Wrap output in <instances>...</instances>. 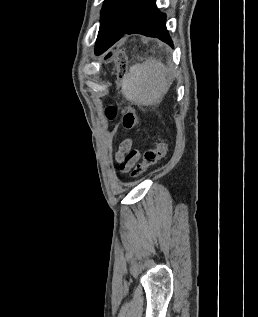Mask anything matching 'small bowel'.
Returning <instances> with one entry per match:
<instances>
[{
  "label": "small bowel",
  "instance_id": "1",
  "mask_svg": "<svg viewBox=\"0 0 258 317\" xmlns=\"http://www.w3.org/2000/svg\"><path fill=\"white\" fill-rule=\"evenodd\" d=\"M140 152L133 147L131 139H125L120 143L119 149L115 154V160L122 172H127L140 158Z\"/></svg>",
  "mask_w": 258,
  "mask_h": 317
}]
</instances>
